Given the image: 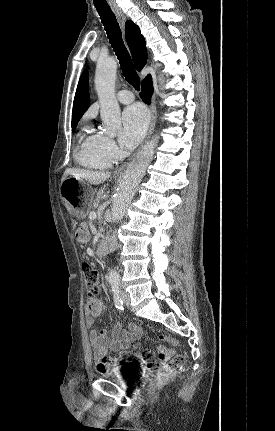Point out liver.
<instances>
[{"instance_id": "6515ba94", "label": "liver", "mask_w": 275, "mask_h": 431, "mask_svg": "<svg viewBox=\"0 0 275 431\" xmlns=\"http://www.w3.org/2000/svg\"><path fill=\"white\" fill-rule=\"evenodd\" d=\"M109 172H95L89 170H80V169H67L62 177V181L65 180L68 176H73L78 179H84L88 181L90 184L98 185L105 182L110 177Z\"/></svg>"}]
</instances>
